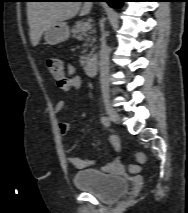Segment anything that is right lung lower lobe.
Here are the masks:
<instances>
[{"instance_id":"right-lung-lower-lobe-1","label":"right lung lower lobe","mask_w":188,"mask_h":213,"mask_svg":"<svg viewBox=\"0 0 188 213\" xmlns=\"http://www.w3.org/2000/svg\"><path fill=\"white\" fill-rule=\"evenodd\" d=\"M80 1H105L113 8L121 7L122 3L126 0H80Z\"/></svg>"}]
</instances>
